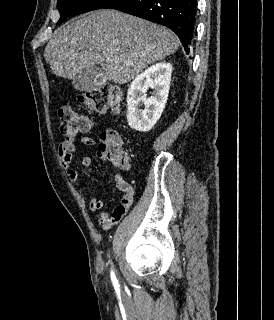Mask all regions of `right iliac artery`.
Here are the masks:
<instances>
[{"instance_id":"1","label":"right iliac artery","mask_w":274,"mask_h":320,"mask_svg":"<svg viewBox=\"0 0 274 320\" xmlns=\"http://www.w3.org/2000/svg\"><path fill=\"white\" fill-rule=\"evenodd\" d=\"M111 279H112L113 281H116L115 274H114L113 271H111Z\"/></svg>"}]
</instances>
